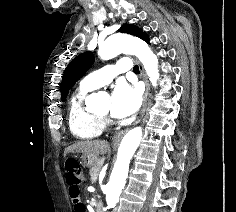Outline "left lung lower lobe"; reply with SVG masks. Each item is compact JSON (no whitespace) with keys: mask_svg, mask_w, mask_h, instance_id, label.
Returning <instances> with one entry per match:
<instances>
[{"mask_svg":"<svg viewBox=\"0 0 236 212\" xmlns=\"http://www.w3.org/2000/svg\"><path fill=\"white\" fill-rule=\"evenodd\" d=\"M144 41H146L147 43H149V42H148V41H149L148 37H146V39H145Z\"/></svg>","mask_w":236,"mask_h":212,"instance_id":"1","label":"left lung lower lobe"}]
</instances>
